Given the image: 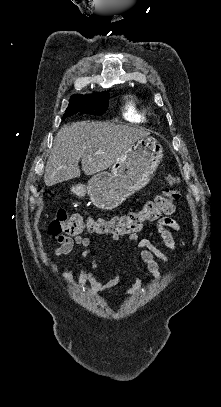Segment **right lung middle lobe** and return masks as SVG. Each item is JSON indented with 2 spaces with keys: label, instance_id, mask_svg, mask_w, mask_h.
Listing matches in <instances>:
<instances>
[{
  "label": "right lung middle lobe",
  "instance_id": "obj_1",
  "mask_svg": "<svg viewBox=\"0 0 221 407\" xmlns=\"http://www.w3.org/2000/svg\"><path fill=\"white\" fill-rule=\"evenodd\" d=\"M109 93L95 94H74L69 100V106L64 114V118L72 116L77 112H84L91 115H102L108 107Z\"/></svg>",
  "mask_w": 221,
  "mask_h": 407
}]
</instances>
